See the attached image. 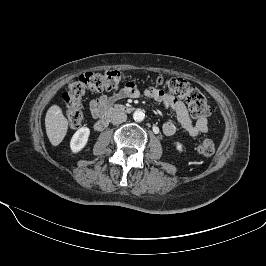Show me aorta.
Segmentation results:
<instances>
[{"label":"aorta","instance_id":"obj_1","mask_svg":"<svg viewBox=\"0 0 266 266\" xmlns=\"http://www.w3.org/2000/svg\"><path fill=\"white\" fill-rule=\"evenodd\" d=\"M145 118V114L143 111L141 110H136L134 113H133V119L137 122H141L143 121Z\"/></svg>","mask_w":266,"mask_h":266}]
</instances>
